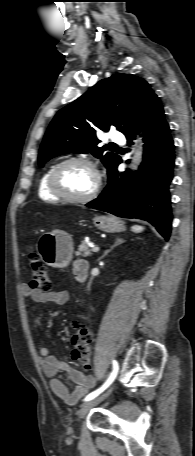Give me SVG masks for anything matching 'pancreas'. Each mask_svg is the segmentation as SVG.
<instances>
[{
    "label": "pancreas",
    "instance_id": "pancreas-1",
    "mask_svg": "<svg viewBox=\"0 0 195 456\" xmlns=\"http://www.w3.org/2000/svg\"><path fill=\"white\" fill-rule=\"evenodd\" d=\"M76 256H83V257H88L91 256V252L88 248V245L86 244L85 241H82L81 244L79 245L78 251L75 252Z\"/></svg>",
    "mask_w": 195,
    "mask_h": 456
}]
</instances>
